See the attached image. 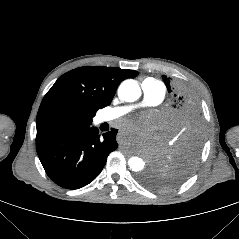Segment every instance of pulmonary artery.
<instances>
[{
    "mask_svg": "<svg viewBox=\"0 0 239 239\" xmlns=\"http://www.w3.org/2000/svg\"><path fill=\"white\" fill-rule=\"evenodd\" d=\"M143 90V101L139 105L121 106L110 109L103 113L100 122H109L118 119L138 106H154L160 104L166 93L165 85L153 78L145 79L141 84Z\"/></svg>",
    "mask_w": 239,
    "mask_h": 239,
    "instance_id": "e3ab8cb5",
    "label": "pulmonary artery"
}]
</instances>
